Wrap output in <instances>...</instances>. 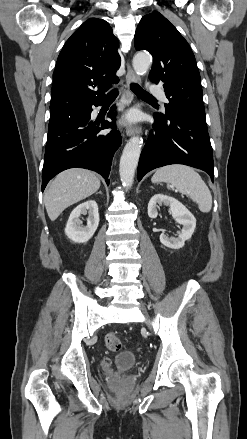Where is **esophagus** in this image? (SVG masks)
Here are the masks:
<instances>
[{"label": "esophagus", "instance_id": "esophagus-1", "mask_svg": "<svg viewBox=\"0 0 247 439\" xmlns=\"http://www.w3.org/2000/svg\"><path fill=\"white\" fill-rule=\"evenodd\" d=\"M127 74H128V89L131 83H139L140 77L134 72L130 63L127 64ZM141 132V128L138 126H127L126 134L127 136H131L134 134H138Z\"/></svg>", "mask_w": 247, "mask_h": 439}]
</instances>
